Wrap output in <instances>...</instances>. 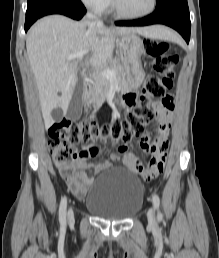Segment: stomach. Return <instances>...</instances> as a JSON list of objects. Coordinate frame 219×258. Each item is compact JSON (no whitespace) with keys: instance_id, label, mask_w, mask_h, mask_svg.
I'll list each match as a JSON object with an SVG mask.
<instances>
[{"instance_id":"1","label":"stomach","mask_w":219,"mask_h":258,"mask_svg":"<svg viewBox=\"0 0 219 258\" xmlns=\"http://www.w3.org/2000/svg\"><path fill=\"white\" fill-rule=\"evenodd\" d=\"M119 53L124 60L126 81L131 89H137L144 80V71L141 56L144 46L141 38L136 33L123 35L119 40Z\"/></svg>"}]
</instances>
